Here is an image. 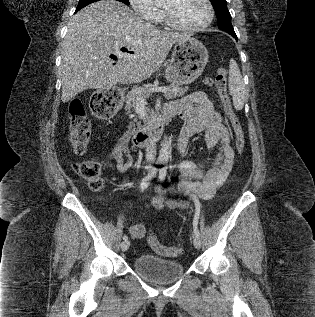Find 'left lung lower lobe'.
Wrapping results in <instances>:
<instances>
[{
    "instance_id": "0a47b994",
    "label": "left lung lower lobe",
    "mask_w": 315,
    "mask_h": 317,
    "mask_svg": "<svg viewBox=\"0 0 315 317\" xmlns=\"http://www.w3.org/2000/svg\"><path fill=\"white\" fill-rule=\"evenodd\" d=\"M232 36L237 40V36H236V34H232Z\"/></svg>"
}]
</instances>
